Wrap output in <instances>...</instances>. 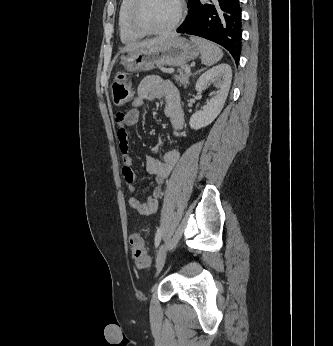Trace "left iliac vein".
<instances>
[{"label":"left iliac vein","mask_w":333,"mask_h":346,"mask_svg":"<svg viewBox=\"0 0 333 346\" xmlns=\"http://www.w3.org/2000/svg\"><path fill=\"white\" fill-rule=\"evenodd\" d=\"M166 255H167V247L165 244H162L158 250L157 257H156V269L157 272H159L166 260Z\"/></svg>","instance_id":"4c4485c4"}]
</instances>
